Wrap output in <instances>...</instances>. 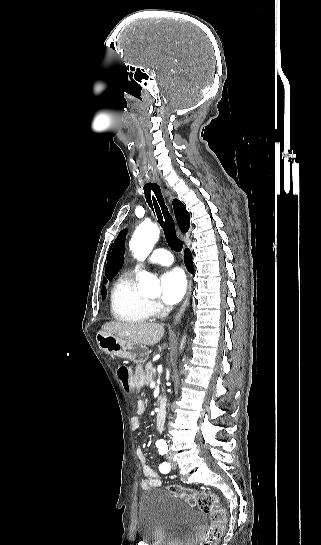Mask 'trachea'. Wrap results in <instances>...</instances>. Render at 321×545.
<instances>
[{"mask_svg":"<svg viewBox=\"0 0 321 545\" xmlns=\"http://www.w3.org/2000/svg\"><path fill=\"white\" fill-rule=\"evenodd\" d=\"M122 112H130V107H122ZM150 171L148 168L145 170ZM158 177L156 174H146L144 177V193L146 200L152 210L156 213L158 222L161 225L169 247L175 252H181L183 242L177 237L173 217L165 205L160 187L157 185Z\"/></svg>","mask_w":321,"mask_h":545,"instance_id":"obj_1","label":"trachea"}]
</instances>
